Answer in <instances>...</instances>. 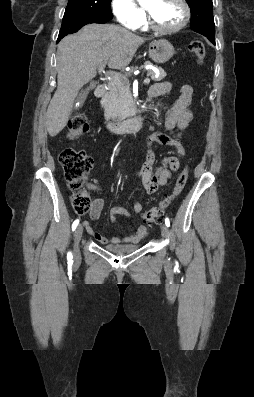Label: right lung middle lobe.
Returning <instances> with one entry per match:
<instances>
[{
	"instance_id": "dd1d6c3e",
	"label": "right lung middle lobe",
	"mask_w": 254,
	"mask_h": 397,
	"mask_svg": "<svg viewBox=\"0 0 254 397\" xmlns=\"http://www.w3.org/2000/svg\"><path fill=\"white\" fill-rule=\"evenodd\" d=\"M111 0H68L64 15H82L92 18L112 17Z\"/></svg>"
}]
</instances>
